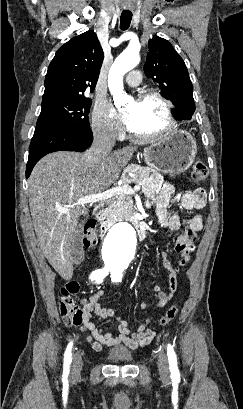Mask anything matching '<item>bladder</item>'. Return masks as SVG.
<instances>
[{"label": "bladder", "instance_id": "31cf9c89", "mask_svg": "<svg viewBox=\"0 0 243 409\" xmlns=\"http://www.w3.org/2000/svg\"><path fill=\"white\" fill-rule=\"evenodd\" d=\"M106 358L112 363H128L133 359V353L124 346H115L106 352Z\"/></svg>", "mask_w": 243, "mask_h": 409}]
</instances>
